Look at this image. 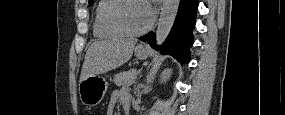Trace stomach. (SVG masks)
Returning a JSON list of instances; mask_svg holds the SVG:
<instances>
[{
  "label": "stomach",
  "instance_id": "stomach-1",
  "mask_svg": "<svg viewBox=\"0 0 285 115\" xmlns=\"http://www.w3.org/2000/svg\"><path fill=\"white\" fill-rule=\"evenodd\" d=\"M148 54L149 50L144 47L137 46L135 48V56L138 59H145ZM107 88L108 84L105 78L98 75L89 76L79 83L80 100L88 107L97 106L104 98Z\"/></svg>",
  "mask_w": 285,
  "mask_h": 115
}]
</instances>
